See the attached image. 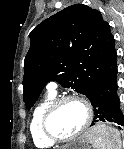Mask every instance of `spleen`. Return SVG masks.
Returning <instances> with one entry per match:
<instances>
[{"label": "spleen", "mask_w": 124, "mask_h": 149, "mask_svg": "<svg viewBox=\"0 0 124 149\" xmlns=\"http://www.w3.org/2000/svg\"><path fill=\"white\" fill-rule=\"evenodd\" d=\"M90 141L94 149L121 148V140L118 131L112 127H107L105 125L96 128V133L93 136H91Z\"/></svg>", "instance_id": "3e777b00"}]
</instances>
